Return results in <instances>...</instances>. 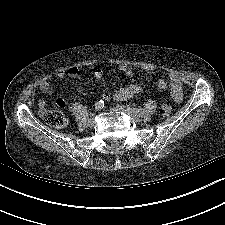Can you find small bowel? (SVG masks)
I'll return each mask as SVG.
<instances>
[{"mask_svg":"<svg viewBox=\"0 0 225 225\" xmlns=\"http://www.w3.org/2000/svg\"><path fill=\"white\" fill-rule=\"evenodd\" d=\"M120 70L128 77L133 76V70L131 69L129 65H121ZM79 72H80L79 68L73 66L67 69H61L56 71L55 78L58 80H61L65 77L76 78L79 75ZM91 75L95 79H100L102 77V70L99 67H95L92 69ZM168 86L170 87L171 94L174 101L181 102L183 98V93H182V84L179 78L176 76H172L169 83L164 79H160L158 81V87L160 89H166ZM38 87H39V90L42 92H48L50 90V84L46 80H42L39 83ZM141 91H142V88L139 85L130 84V85L118 88L114 93V98L119 101H127L131 99L132 97H134L135 95L141 93ZM102 97L105 101L109 100V96L106 94H104ZM60 102H64L66 104L65 100L62 98H59L57 100V104H59ZM39 107L41 111L44 109L45 102L43 100L39 101Z\"/></svg>","mask_w":225,"mask_h":225,"instance_id":"small-bowel-1","label":"small bowel"}]
</instances>
